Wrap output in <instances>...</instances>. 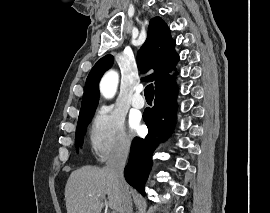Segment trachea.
Instances as JSON below:
<instances>
[{"label":"trachea","instance_id":"obj_1","mask_svg":"<svg viewBox=\"0 0 270 213\" xmlns=\"http://www.w3.org/2000/svg\"><path fill=\"white\" fill-rule=\"evenodd\" d=\"M144 95L146 99L152 100L154 98V87L153 84H149L144 89Z\"/></svg>","mask_w":270,"mask_h":213}]
</instances>
